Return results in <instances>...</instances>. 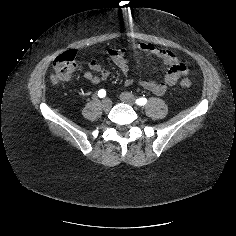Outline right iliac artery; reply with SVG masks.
<instances>
[{
    "mask_svg": "<svg viewBox=\"0 0 236 236\" xmlns=\"http://www.w3.org/2000/svg\"><path fill=\"white\" fill-rule=\"evenodd\" d=\"M98 96H99L100 98H104V97L106 96V91H105L104 89H100V90L98 91Z\"/></svg>",
    "mask_w": 236,
    "mask_h": 236,
    "instance_id": "right-iliac-artery-1",
    "label": "right iliac artery"
}]
</instances>
